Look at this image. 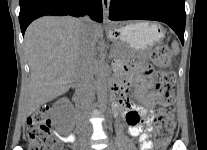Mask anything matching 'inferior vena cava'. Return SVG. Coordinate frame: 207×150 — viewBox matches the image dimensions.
<instances>
[{
  "instance_id": "obj_1",
  "label": "inferior vena cava",
  "mask_w": 207,
  "mask_h": 150,
  "mask_svg": "<svg viewBox=\"0 0 207 150\" xmlns=\"http://www.w3.org/2000/svg\"><path fill=\"white\" fill-rule=\"evenodd\" d=\"M80 21L82 26L81 43L74 82L78 100L89 103L94 83L95 43L90 35L91 20L84 17Z\"/></svg>"
}]
</instances>
